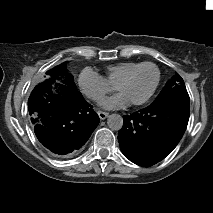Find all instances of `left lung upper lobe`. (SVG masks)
Returning <instances> with one entry per match:
<instances>
[{
	"label": "left lung upper lobe",
	"mask_w": 213,
	"mask_h": 213,
	"mask_svg": "<svg viewBox=\"0 0 213 213\" xmlns=\"http://www.w3.org/2000/svg\"><path fill=\"white\" fill-rule=\"evenodd\" d=\"M167 96H179L189 100V95L187 93L184 81L178 73H176V75L166 83L165 87L154 102L159 101Z\"/></svg>",
	"instance_id": "1"
}]
</instances>
